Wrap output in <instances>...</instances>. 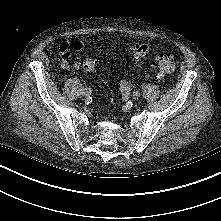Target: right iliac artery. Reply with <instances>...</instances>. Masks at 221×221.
Listing matches in <instances>:
<instances>
[{
  "label": "right iliac artery",
  "instance_id": "obj_1",
  "mask_svg": "<svg viewBox=\"0 0 221 221\" xmlns=\"http://www.w3.org/2000/svg\"><path fill=\"white\" fill-rule=\"evenodd\" d=\"M87 89V92H88V96H90L91 94V89L90 88H86Z\"/></svg>",
  "mask_w": 221,
  "mask_h": 221
}]
</instances>
